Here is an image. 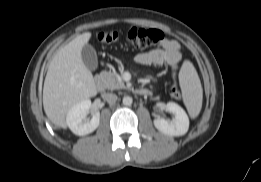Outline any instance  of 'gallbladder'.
<instances>
[{
    "mask_svg": "<svg viewBox=\"0 0 261 182\" xmlns=\"http://www.w3.org/2000/svg\"><path fill=\"white\" fill-rule=\"evenodd\" d=\"M81 57L83 63L90 71H94L97 69L98 67L97 54L95 49L91 45L86 44L83 46L81 50Z\"/></svg>",
    "mask_w": 261,
    "mask_h": 182,
    "instance_id": "gallbladder-1",
    "label": "gallbladder"
}]
</instances>
